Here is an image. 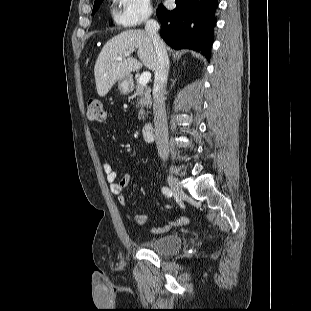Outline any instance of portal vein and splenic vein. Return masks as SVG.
I'll use <instances>...</instances> for the list:
<instances>
[{
	"label": "portal vein and splenic vein",
	"mask_w": 311,
	"mask_h": 311,
	"mask_svg": "<svg viewBox=\"0 0 311 311\" xmlns=\"http://www.w3.org/2000/svg\"><path fill=\"white\" fill-rule=\"evenodd\" d=\"M130 56V52H125L121 55H119L116 59L118 61H121L123 59V57H129ZM151 79V73L150 72H143L140 77H139V83L142 85H146Z\"/></svg>",
	"instance_id": "obj_1"
}]
</instances>
